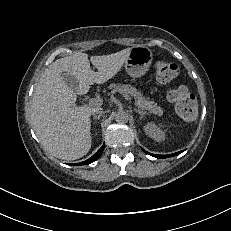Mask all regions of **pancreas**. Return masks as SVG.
Here are the masks:
<instances>
[{
	"mask_svg": "<svg viewBox=\"0 0 231 231\" xmlns=\"http://www.w3.org/2000/svg\"><path fill=\"white\" fill-rule=\"evenodd\" d=\"M109 88L122 94H130L132 97H134L135 105L138 108L144 110L145 112H150L159 116L163 114V109L160 106H158L157 103L150 101L148 98L143 96L141 92H139L135 87H132L131 85L110 84Z\"/></svg>",
	"mask_w": 231,
	"mask_h": 231,
	"instance_id": "obj_1",
	"label": "pancreas"
}]
</instances>
